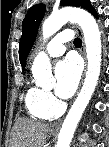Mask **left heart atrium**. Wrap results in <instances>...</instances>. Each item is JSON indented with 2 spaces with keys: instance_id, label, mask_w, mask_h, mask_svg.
I'll return each mask as SVG.
<instances>
[{
  "instance_id": "39dd6f15",
  "label": "left heart atrium",
  "mask_w": 109,
  "mask_h": 147,
  "mask_svg": "<svg viewBox=\"0 0 109 147\" xmlns=\"http://www.w3.org/2000/svg\"><path fill=\"white\" fill-rule=\"evenodd\" d=\"M80 75L81 66L74 55L58 62L55 67V94L64 99L71 97L78 86Z\"/></svg>"
}]
</instances>
